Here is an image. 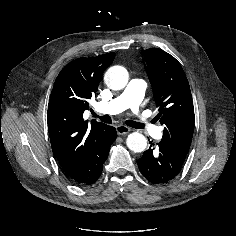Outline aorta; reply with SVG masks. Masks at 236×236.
<instances>
[{"label":"aorta","instance_id":"obj_1","mask_svg":"<svg viewBox=\"0 0 236 236\" xmlns=\"http://www.w3.org/2000/svg\"><path fill=\"white\" fill-rule=\"evenodd\" d=\"M127 70L121 66H113L107 70L104 76L106 85L113 90H121L128 83ZM127 147L133 152H143L147 147L146 137L138 132L130 133L126 139Z\"/></svg>","mask_w":236,"mask_h":236}]
</instances>
